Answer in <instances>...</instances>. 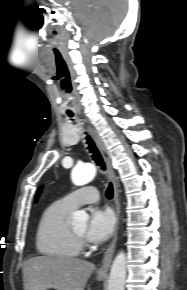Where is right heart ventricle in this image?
<instances>
[{
    "label": "right heart ventricle",
    "instance_id": "obj_1",
    "mask_svg": "<svg viewBox=\"0 0 187 290\" xmlns=\"http://www.w3.org/2000/svg\"><path fill=\"white\" fill-rule=\"evenodd\" d=\"M73 208L62 200L50 204L42 213L36 231V247L44 256L70 259L79 254L70 233L68 218Z\"/></svg>",
    "mask_w": 187,
    "mask_h": 290
}]
</instances>
